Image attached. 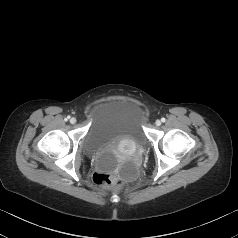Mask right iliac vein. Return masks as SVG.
I'll list each match as a JSON object with an SVG mask.
<instances>
[{"label":"right iliac vein","instance_id":"63e3f726","mask_svg":"<svg viewBox=\"0 0 238 238\" xmlns=\"http://www.w3.org/2000/svg\"><path fill=\"white\" fill-rule=\"evenodd\" d=\"M76 121H77V120H76V118H74V117H72V118L70 119V123H71V124H75Z\"/></svg>","mask_w":238,"mask_h":238}]
</instances>
